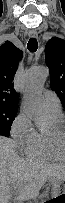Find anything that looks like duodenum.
<instances>
[{
  "instance_id": "410a0bca",
  "label": "duodenum",
  "mask_w": 65,
  "mask_h": 203,
  "mask_svg": "<svg viewBox=\"0 0 65 203\" xmlns=\"http://www.w3.org/2000/svg\"><path fill=\"white\" fill-rule=\"evenodd\" d=\"M44 203H51V202H49V201H46V202H44Z\"/></svg>"
}]
</instances>
